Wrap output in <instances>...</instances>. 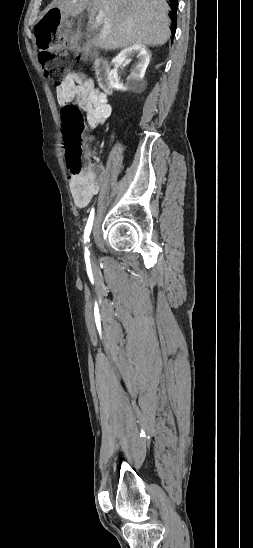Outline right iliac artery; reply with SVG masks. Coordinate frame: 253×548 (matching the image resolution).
Instances as JSON below:
<instances>
[{
    "instance_id": "82829eb1",
    "label": "right iliac artery",
    "mask_w": 253,
    "mask_h": 548,
    "mask_svg": "<svg viewBox=\"0 0 253 548\" xmlns=\"http://www.w3.org/2000/svg\"><path fill=\"white\" fill-rule=\"evenodd\" d=\"M93 219H94V208H92V210L90 212V215H89V218H88L85 230H84L85 243L89 241V235H90L91 230H92ZM89 255H90V252L88 250V247H85V256L89 257Z\"/></svg>"
}]
</instances>
